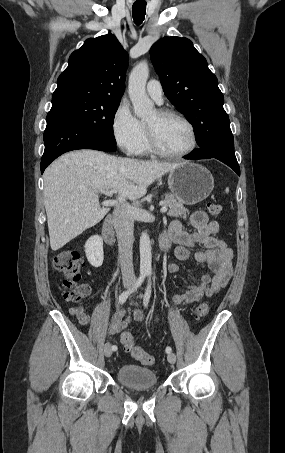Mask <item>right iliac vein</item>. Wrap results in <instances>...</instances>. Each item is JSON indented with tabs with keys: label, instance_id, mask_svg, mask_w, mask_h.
Returning a JSON list of instances; mask_svg holds the SVG:
<instances>
[{
	"label": "right iliac vein",
	"instance_id": "63e3f726",
	"mask_svg": "<svg viewBox=\"0 0 285 453\" xmlns=\"http://www.w3.org/2000/svg\"><path fill=\"white\" fill-rule=\"evenodd\" d=\"M124 286H125L126 288H129V287L131 286V284L127 282V283L124 284ZM112 352H113V351H112V346H111V344H110V343H106L105 346H104V355H105L106 357H110V356L112 355Z\"/></svg>",
	"mask_w": 285,
	"mask_h": 453
}]
</instances>
